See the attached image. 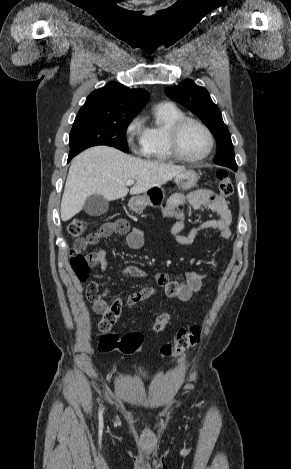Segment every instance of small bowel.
<instances>
[{
    "label": "small bowel",
    "instance_id": "small-bowel-1",
    "mask_svg": "<svg viewBox=\"0 0 291 469\" xmlns=\"http://www.w3.org/2000/svg\"><path fill=\"white\" fill-rule=\"evenodd\" d=\"M189 204L193 209H207L218 215L216 219H208L190 229L187 234H182L185 226V205ZM163 214L168 217L175 218L177 221L171 229V233L178 245L193 244L197 236L205 230H216L221 238L229 239L231 237V214L225 200L219 198L213 191L200 189L189 193L188 195L174 194L172 195ZM103 230L102 237H108L113 233L125 236L126 245L132 250H136L143 245V234L140 229H131L129 223L125 219H118L113 222H107L100 227ZM96 243V242H95ZM94 244V243H93ZM88 258L93 265L99 264L103 271H109L110 267L106 259L104 250L89 253ZM123 275L132 277H143L145 272L136 266H126L122 269ZM204 273L200 271H188L182 277L170 280L165 273L156 275L157 284L163 288L164 294L169 298H177L180 301H189L194 293L200 291ZM156 293L153 288H144L138 292L130 294L125 302L129 308L136 306L148 300ZM107 292L98 290L96 300L93 302V309L96 313L101 314L104 310L111 308L105 300Z\"/></svg>",
    "mask_w": 291,
    "mask_h": 469
}]
</instances>
